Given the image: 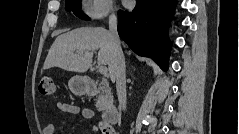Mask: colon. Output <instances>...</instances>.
<instances>
[{
    "label": "colon",
    "instance_id": "1",
    "mask_svg": "<svg viewBox=\"0 0 239 134\" xmlns=\"http://www.w3.org/2000/svg\"><path fill=\"white\" fill-rule=\"evenodd\" d=\"M39 92L43 95H50L55 90L54 80L49 75H42L39 79L38 85ZM103 134H113V131L110 127L102 126L101 127Z\"/></svg>",
    "mask_w": 239,
    "mask_h": 134
}]
</instances>
